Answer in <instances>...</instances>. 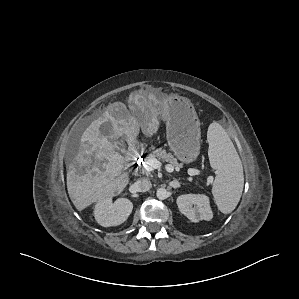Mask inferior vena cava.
Segmentation results:
<instances>
[{
	"label": "inferior vena cava",
	"instance_id": "obj_1",
	"mask_svg": "<svg viewBox=\"0 0 299 299\" xmlns=\"http://www.w3.org/2000/svg\"><path fill=\"white\" fill-rule=\"evenodd\" d=\"M135 187L139 192H146L151 189L152 184L148 179L142 178L135 182Z\"/></svg>",
	"mask_w": 299,
	"mask_h": 299
}]
</instances>
